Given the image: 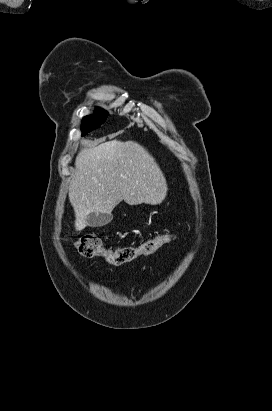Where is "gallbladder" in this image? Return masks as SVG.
I'll list each match as a JSON object with an SVG mask.
<instances>
[{
    "label": "gallbladder",
    "instance_id": "gallbladder-1",
    "mask_svg": "<svg viewBox=\"0 0 272 411\" xmlns=\"http://www.w3.org/2000/svg\"><path fill=\"white\" fill-rule=\"evenodd\" d=\"M111 216L109 214H102L97 211H92L87 216V224L90 227H101L109 223Z\"/></svg>",
    "mask_w": 272,
    "mask_h": 411
}]
</instances>
